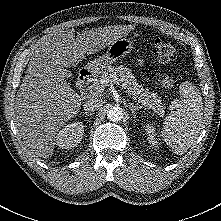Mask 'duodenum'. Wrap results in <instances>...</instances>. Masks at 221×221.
<instances>
[{"label": "duodenum", "mask_w": 221, "mask_h": 221, "mask_svg": "<svg viewBox=\"0 0 221 221\" xmlns=\"http://www.w3.org/2000/svg\"><path fill=\"white\" fill-rule=\"evenodd\" d=\"M91 72L87 68H83L79 72L78 81H77V87L80 91H83L85 88V85L88 83V81L91 78Z\"/></svg>", "instance_id": "1"}]
</instances>
